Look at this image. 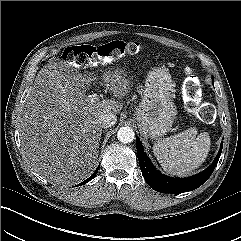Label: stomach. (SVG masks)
<instances>
[{
	"label": "stomach",
	"mask_w": 241,
	"mask_h": 241,
	"mask_svg": "<svg viewBox=\"0 0 241 241\" xmlns=\"http://www.w3.org/2000/svg\"><path fill=\"white\" fill-rule=\"evenodd\" d=\"M174 83L165 69L150 71L145 80L142 100L135 111L140 133L156 139L171 130L177 115L173 101Z\"/></svg>",
	"instance_id": "0dacf381"
}]
</instances>
